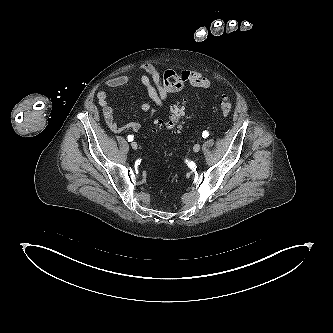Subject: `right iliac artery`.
Wrapping results in <instances>:
<instances>
[{"label": "right iliac artery", "mask_w": 333, "mask_h": 333, "mask_svg": "<svg viewBox=\"0 0 333 333\" xmlns=\"http://www.w3.org/2000/svg\"><path fill=\"white\" fill-rule=\"evenodd\" d=\"M127 139H128L129 142H131V141H133L134 137H133L132 135H129V136L127 137Z\"/></svg>", "instance_id": "82829eb1"}]
</instances>
